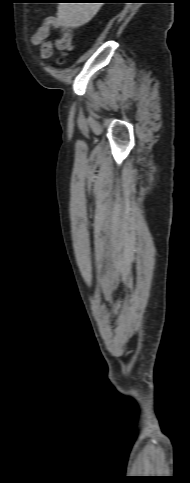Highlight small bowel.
Here are the masks:
<instances>
[{
    "label": "small bowel",
    "mask_w": 190,
    "mask_h": 483,
    "mask_svg": "<svg viewBox=\"0 0 190 483\" xmlns=\"http://www.w3.org/2000/svg\"><path fill=\"white\" fill-rule=\"evenodd\" d=\"M58 28H61L60 35L52 39V31ZM31 42L33 45L40 46L41 57L47 59L52 55L54 48L65 49L70 45L72 33L68 28L63 27L55 17L50 16L32 35Z\"/></svg>",
    "instance_id": "obj_1"
}]
</instances>
